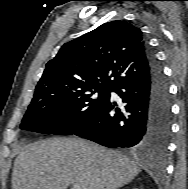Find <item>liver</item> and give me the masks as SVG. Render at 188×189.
Listing matches in <instances>:
<instances>
[{
  "mask_svg": "<svg viewBox=\"0 0 188 189\" xmlns=\"http://www.w3.org/2000/svg\"><path fill=\"white\" fill-rule=\"evenodd\" d=\"M140 167L122 154L79 138H51L26 145L15 159L12 189H117Z\"/></svg>",
  "mask_w": 188,
  "mask_h": 189,
  "instance_id": "6515ba94",
  "label": "liver"
}]
</instances>
